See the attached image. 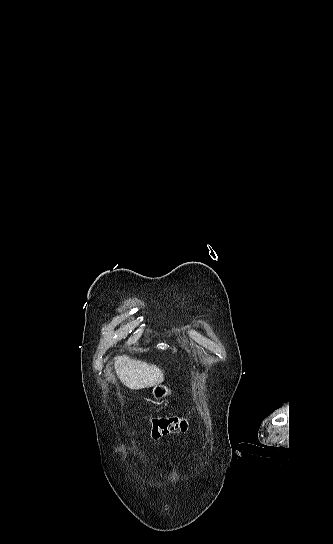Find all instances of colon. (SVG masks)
Instances as JSON below:
<instances>
[{
	"mask_svg": "<svg viewBox=\"0 0 333 544\" xmlns=\"http://www.w3.org/2000/svg\"><path fill=\"white\" fill-rule=\"evenodd\" d=\"M186 418L168 417L153 419L149 422V436L156 440L170 434L185 433L190 429Z\"/></svg>",
	"mask_w": 333,
	"mask_h": 544,
	"instance_id": "5ec220e1",
	"label": "colon"
}]
</instances>
